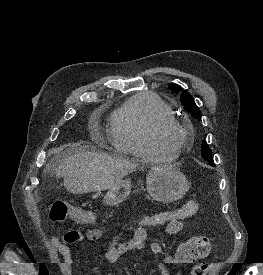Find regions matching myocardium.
I'll list each match as a JSON object with an SVG mask.
<instances>
[{
  "mask_svg": "<svg viewBox=\"0 0 263 275\" xmlns=\"http://www.w3.org/2000/svg\"><path fill=\"white\" fill-rule=\"evenodd\" d=\"M172 133L175 136L173 141H166L163 134ZM188 129L176 118L167 117L159 120L151 130V140L160 150L170 153H177L184 146L188 139Z\"/></svg>",
  "mask_w": 263,
  "mask_h": 275,
  "instance_id": "1",
  "label": "myocardium"
}]
</instances>
